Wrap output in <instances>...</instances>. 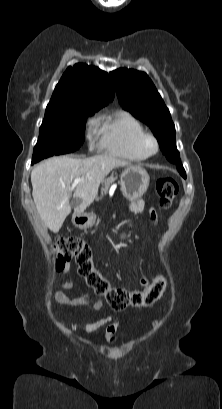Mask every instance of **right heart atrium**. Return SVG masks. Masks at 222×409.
I'll list each match as a JSON object with an SVG mask.
<instances>
[{
  "mask_svg": "<svg viewBox=\"0 0 222 409\" xmlns=\"http://www.w3.org/2000/svg\"><path fill=\"white\" fill-rule=\"evenodd\" d=\"M96 128H97V120L95 118H90L87 122V139L90 145L94 141V137L96 134Z\"/></svg>",
  "mask_w": 222,
  "mask_h": 409,
  "instance_id": "1",
  "label": "right heart atrium"
}]
</instances>
